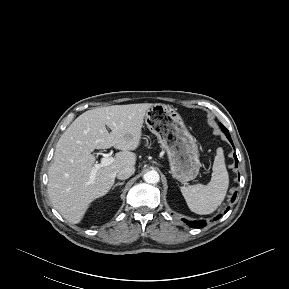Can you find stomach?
Returning a JSON list of instances; mask_svg holds the SVG:
<instances>
[{
	"instance_id": "obj_1",
	"label": "stomach",
	"mask_w": 289,
	"mask_h": 289,
	"mask_svg": "<svg viewBox=\"0 0 289 289\" xmlns=\"http://www.w3.org/2000/svg\"><path fill=\"white\" fill-rule=\"evenodd\" d=\"M144 119L168 156L172 176L180 182L196 178L200 169L198 146L180 114L171 106L158 103L146 111Z\"/></svg>"
}]
</instances>
